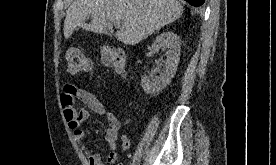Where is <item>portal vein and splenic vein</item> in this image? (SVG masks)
Returning <instances> with one entry per match:
<instances>
[{
    "label": "portal vein and splenic vein",
    "instance_id": "portal-vein-and-splenic-vein-1",
    "mask_svg": "<svg viewBox=\"0 0 276 165\" xmlns=\"http://www.w3.org/2000/svg\"><path fill=\"white\" fill-rule=\"evenodd\" d=\"M114 25H115V26H118V25H119V22H118V21L114 22Z\"/></svg>",
    "mask_w": 276,
    "mask_h": 165
}]
</instances>
